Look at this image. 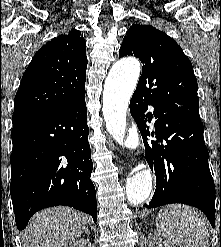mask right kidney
Returning a JSON list of instances; mask_svg holds the SVG:
<instances>
[{"label":"right kidney","mask_w":221,"mask_h":247,"mask_svg":"<svg viewBox=\"0 0 221 247\" xmlns=\"http://www.w3.org/2000/svg\"><path fill=\"white\" fill-rule=\"evenodd\" d=\"M70 247H91V243L88 239H80L73 242Z\"/></svg>","instance_id":"obj_1"}]
</instances>
